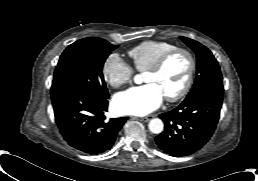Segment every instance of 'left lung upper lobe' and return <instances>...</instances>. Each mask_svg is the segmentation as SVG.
I'll use <instances>...</instances> for the list:
<instances>
[{
	"label": "left lung upper lobe",
	"instance_id": "1",
	"mask_svg": "<svg viewBox=\"0 0 258 181\" xmlns=\"http://www.w3.org/2000/svg\"><path fill=\"white\" fill-rule=\"evenodd\" d=\"M197 56V77L195 83L185 100H190L196 96L210 90L223 91V78L219 64L211 51L199 42L180 37Z\"/></svg>",
	"mask_w": 258,
	"mask_h": 181
}]
</instances>
